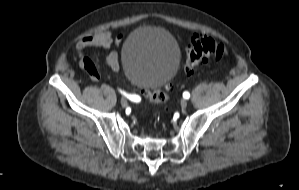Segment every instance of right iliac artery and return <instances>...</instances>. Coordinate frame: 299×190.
Instances as JSON below:
<instances>
[{
    "label": "right iliac artery",
    "mask_w": 299,
    "mask_h": 190,
    "mask_svg": "<svg viewBox=\"0 0 299 190\" xmlns=\"http://www.w3.org/2000/svg\"><path fill=\"white\" fill-rule=\"evenodd\" d=\"M120 92L126 96L128 99H130L131 101H134V102H138L140 101V97L138 95H132V94H127L125 93L124 91L120 90Z\"/></svg>",
    "instance_id": "82829eb1"
}]
</instances>
